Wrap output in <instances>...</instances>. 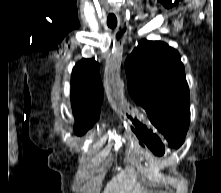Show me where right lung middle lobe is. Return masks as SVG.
<instances>
[{
	"instance_id": "right-lung-middle-lobe-1",
	"label": "right lung middle lobe",
	"mask_w": 221,
	"mask_h": 193,
	"mask_svg": "<svg viewBox=\"0 0 221 193\" xmlns=\"http://www.w3.org/2000/svg\"><path fill=\"white\" fill-rule=\"evenodd\" d=\"M91 127H92V126H91ZM88 128H90V127H88ZM88 128L83 129V130H80V131L75 132V133H76L78 136H80V135L84 134V133L87 131Z\"/></svg>"
}]
</instances>
